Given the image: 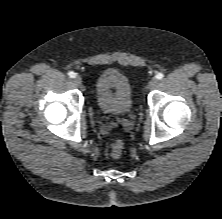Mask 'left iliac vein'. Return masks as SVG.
Returning <instances> with one entry per match:
<instances>
[{"label":"left iliac vein","instance_id":"obj_1","mask_svg":"<svg viewBox=\"0 0 222 219\" xmlns=\"http://www.w3.org/2000/svg\"><path fill=\"white\" fill-rule=\"evenodd\" d=\"M157 84H158L157 79H152V80L148 83V88H149V89H153V88H155V87L157 86Z\"/></svg>","mask_w":222,"mask_h":219}]
</instances>
